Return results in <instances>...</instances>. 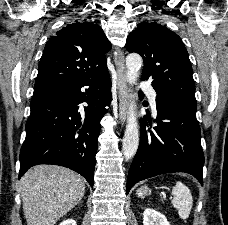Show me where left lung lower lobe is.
<instances>
[{"label":"left lung lower lobe","mask_w":228,"mask_h":225,"mask_svg":"<svg viewBox=\"0 0 228 225\" xmlns=\"http://www.w3.org/2000/svg\"><path fill=\"white\" fill-rule=\"evenodd\" d=\"M156 107L158 126L146 128V120L151 123L148 115L140 120V144L129 170L126 194L141 180L171 172L191 174L203 185L197 105L157 96Z\"/></svg>","instance_id":"0a47b994"}]
</instances>
